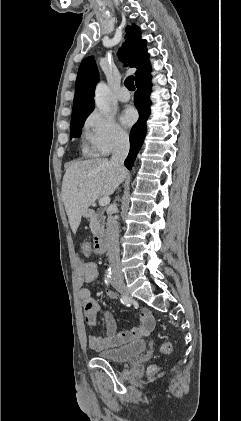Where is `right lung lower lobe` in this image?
I'll return each instance as SVG.
<instances>
[{
    "label": "right lung lower lobe",
    "mask_w": 241,
    "mask_h": 421,
    "mask_svg": "<svg viewBox=\"0 0 241 421\" xmlns=\"http://www.w3.org/2000/svg\"><path fill=\"white\" fill-rule=\"evenodd\" d=\"M150 71V64H148L135 78L137 91L134 95V103L139 112V119L130 132V151L124 162L128 169H131L133 166L135 157L142 146L146 134V121L150 115L151 104L149 99L151 92Z\"/></svg>",
    "instance_id": "1"
}]
</instances>
